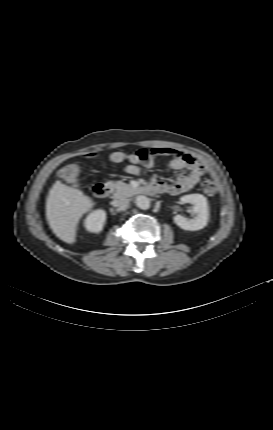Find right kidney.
<instances>
[{"instance_id":"obj_1","label":"right kidney","mask_w":273,"mask_h":430,"mask_svg":"<svg viewBox=\"0 0 273 430\" xmlns=\"http://www.w3.org/2000/svg\"><path fill=\"white\" fill-rule=\"evenodd\" d=\"M106 221L105 211L98 209L92 212L85 221V227L90 232L98 233L102 230Z\"/></svg>"}]
</instances>
